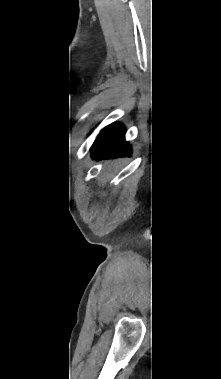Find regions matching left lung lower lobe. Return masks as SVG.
Wrapping results in <instances>:
<instances>
[{
  "instance_id": "obj_1",
  "label": "left lung lower lobe",
  "mask_w": 221,
  "mask_h": 379,
  "mask_svg": "<svg viewBox=\"0 0 221 379\" xmlns=\"http://www.w3.org/2000/svg\"><path fill=\"white\" fill-rule=\"evenodd\" d=\"M124 134L125 129L119 123L105 127L91 147L93 158L130 154L131 150L124 141Z\"/></svg>"
}]
</instances>
